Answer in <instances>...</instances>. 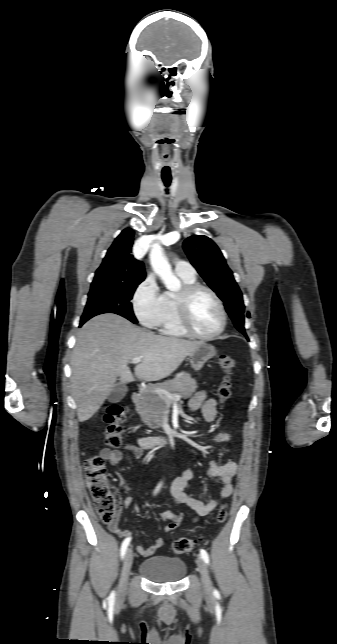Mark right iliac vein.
<instances>
[{
  "instance_id": "1",
  "label": "right iliac vein",
  "mask_w": 337,
  "mask_h": 644,
  "mask_svg": "<svg viewBox=\"0 0 337 644\" xmlns=\"http://www.w3.org/2000/svg\"><path fill=\"white\" fill-rule=\"evenodd\" d=\"M133 563V552L131 549H128L125 555V559L123 562V567H122V573H121V579H120V584L118 588V597L123 598L126 594L127 590V581H128V576L132 567Z\"/></svg>"
}]
</instances>
